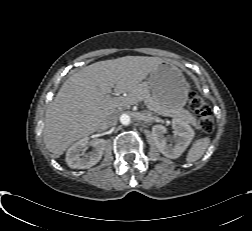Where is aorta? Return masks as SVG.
<instances>
[{
	"label": "aorta",
	"mask_w": 252,
	"mask_h": 231,
	"mask_svg": "<svg viewBox=\"0 0 252 231\" xmlns=\"http://www.w3.org/2000/svg\"><path fill=\"white\" fill-rule=\"evenodd\" d=\"M130 121H131V118L129 115L127 114H122L120 116V122L123 124V125H129L130 124Z\"/></svg>",
	"instance_id": "obj_1"
}]
</instances>
